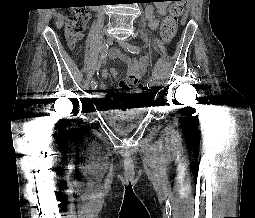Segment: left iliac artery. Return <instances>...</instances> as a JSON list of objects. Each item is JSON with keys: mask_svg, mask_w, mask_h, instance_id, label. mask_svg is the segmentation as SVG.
Segmentation results:
<instances>
[{"mask_svg": "<svg viewBox=\"0 0 255 218\" xmlns=\"http://www.w3.org/2000/svg\"><path fill=\"white\" fill-rule=\"evenodd\" d=\"M128 51H129L130 53L136 54V53H139V52H140V47L135 46V45H131V46L129 47ZM153 85H154V79L152 78V79H150V80L148 81L147 87H148V88H151Z\"/></svg>", "mask_w": 255, "mask_h": 218, "instance_id": "left-iliac-artery-1", "label": "left iliac artery"}]
</instances>
